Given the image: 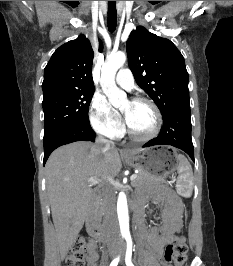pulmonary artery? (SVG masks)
<instances>
[{"instance_id": "pulmonary-artery-1", "label": "pulmonary artery", "mask_w": 233, "mask_h": 266, "mask_svg": "<svg viewBox=\"0 0 233 266\" xmlns=\"http://www.w3.org/2000/svg\"><path fill=\"white\" fill-rule=\"evenodd\" d=\"M116 83L122 88L130 90L134 86L132 72L127 68L119 70L116 76Z\"/></svg>"}]
</instances>
